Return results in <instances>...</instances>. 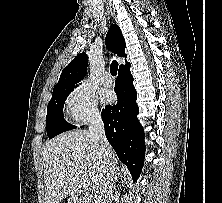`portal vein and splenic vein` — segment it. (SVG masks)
<instances>
[{
  "label": "portal vein and splenic vein",
  "mask_w": 222,
  "mask_h": 203,
  "mask_svg": "<svg viewBox=\"0 0 222 203\" xmlns=\"http://www.w3.org/2000/svg\"><path fill=\"white\" fill-rule=\"evenodd\" d=\"M80 173H83V172L81 171ZM82 186H83V188H85V189H89L90 184H89L88 181H85V180H84Z\"/></svg>",
  "instance_id": "obj_1"
}]
</instances>
